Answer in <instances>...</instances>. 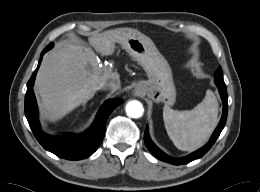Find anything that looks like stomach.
Instances as JSON below:
<instances>
[{
	"instance_id": "stomach-1",
	"label": "stomach",
	"mask_w": 260,
	"mask_h": 192,
	"mask_svg": "<svg viewBox=\"0 0 260 192\" xmlns=\"http://www.w3.org/2000/svg\"><path fill=\"white\" fill-rule=\"evenodd\" d=\"M117 42L143 67L148 80L138 83L136 90L150 100L166 105L174 104L176 88L170 65L153 41L133 29L116 30Z\"/></svg>"
}]
</instances>
